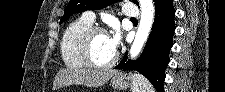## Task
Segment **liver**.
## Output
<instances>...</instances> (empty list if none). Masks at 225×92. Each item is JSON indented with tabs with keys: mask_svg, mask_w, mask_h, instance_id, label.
<instances>
[{
	"mask_svg": "<svg viewBox=\"0 0 225 92\" xmlns=\"http://www.w3.org/2000/svg\"><path fill=\"white\" fill-rule=\"evenodd\" d=\"M115 71L106 69H60L53 81V91L70 85L100 87L104 85Z\"/></svg>",
	"mask_w": 225,
	"mask_h": 92,
	"instance_id": "obj_1",
	"label": "liver"
}]
</instances>
